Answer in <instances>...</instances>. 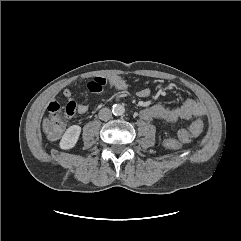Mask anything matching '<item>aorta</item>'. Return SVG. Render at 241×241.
Listing matches in <instances>:
<instances>
[{
  "instance_id": "762f6f07",
  "label": "aorta",
  "mask_w": 241,
  "mask_h": 241,
  "mask_svg": "<svg viewBox=\"0 0 241 241\" xmlns=\"http://www.w3.org/2000/svg\"><path fill=\"white\" fill-rule=\"evenodd\" d=\"M112 112L116 116H121L124 114L125 108H124V106H122L120 104H115V105H113Z\"/></svg>"
}]
</instances>
